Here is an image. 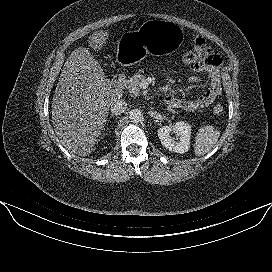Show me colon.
<instances>
[{
	"label": "colon",
	"mask_w": 272,
	"mask_h": 272,
	"mask_svg": "<svg viewBox=\"0 0 272 272\" xmlns=\"http://www.w3.org/2000/svg\"><path fill=\"white\" fill-rule=\"evenodd\" d=\"M201 56H202V51L194 48L193 50L188 51L183 55V61L187 64H192L197 62L201 58ZM223 111H224V107L221 104H217L213 108V112L216 115L222 114Z\"/></svg>",
	"instance_id": "colon-1"
}]
</instances>
